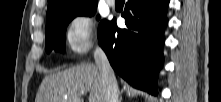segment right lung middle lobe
<instances>
[{
	"mask_svg": "<svg viewBox=\"0 0 221 102\" xmlns=\"http://www.w3.org/2000/svg\"><path fill=\"white\" fill-rule=\"evenodd\" d=\"M97 2L88 3L80 7H72L57 12L54 16L47 20L46 24V51L51 50L64 51V43L66 38V28L71 20L76 16H92L96 12ZM100 17L98 16L97 19ZM106 20H102L99 24V30Z\"/></svg>",
	"mask_w": 221,
	"mask_h": 102,
	"instance_id": "right-lung-middle-lobe-1",
	"label": "right lung middle lobe"
}]
</instances>
